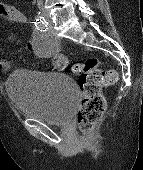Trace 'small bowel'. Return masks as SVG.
I'll return each mask as SVG.
<instances>
[{"label": "small bowel", "instance_id": "small-bowel-1", "mask_svg": "<svg viewBox=\"0 0 143 170\" xmlns=\"http://www.w3.org/2000/svg\"><path fill=\"white\" fill-rule=\"evenodd\" d=\"M0 18L6 19L10 22H16V23H25L26 22V16L24 12L14 6L6 5L0 3ZM27 49L38 56H45V53L37 48V46L33 42L27 43ZM58 57V56H57ZM54 58L53 66L57 69H59V63L58 60ZM64 61L66 59L63 56H60ZM10 68V63L7 60H4L0 58V70L6 71Z\"/></svg>", "mask_w": 143, "mask_h": 170}]
</instances>
